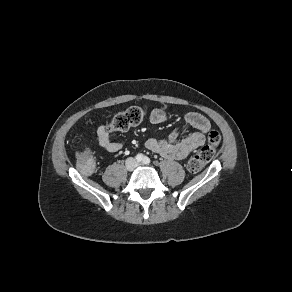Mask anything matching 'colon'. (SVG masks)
<instances>
[{"mask_svg": "<svg viewBox=\"0 0 292 292\" xmlns=\"http://www.w3.org/2000/svg\"><path fill=\"white\" fill-rule=\"evenodd\" d=\"M145 117L146 108L144 106H130L114 115L108 125V130L126 131L140 124ZM220 141L221 136L219 132L212 130L208 135L207 145L190 158L188 162L189 171L198 172L202 170L212 160ZM77 165L79 170L84 174H90L94 171L95 160L89 149H85L78 154Z\"/></svg>", "mask_w": 292, "mask_h": 292, "instance_id": "1", "label": "colon"}]
</instances>
